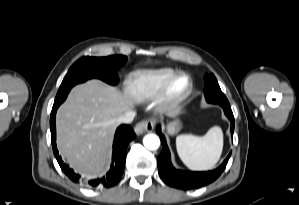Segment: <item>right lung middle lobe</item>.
I'll return each instance as SVG.
<instances>
[{
  "label": "right lung middle lobe",
  "mask_w": 299,
  "mask_h": 205,
  "mask_svg": "<svg viewBox=\"0 0 299 205\" xmlns=\"http://www.w3.org/2000/svg\"><path fill=\"white\" fill-rule=\"evenodd\" d=\"M127 57L113 55L109 57H82L69 69L57 92L54 104L62 103L71 88L91 78L101 79L115 85L118 81L117 70L122 66Z\"/></svg>",
  "instance_id": "right-lung-middle-lobe-1"
}]
</instances>
